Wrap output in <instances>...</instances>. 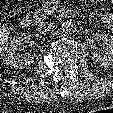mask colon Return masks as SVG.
Listing matches in <instances>:
<instances>
[{"mask_svg": "<svg viewBox=\"0 0 113 113\" xmlns=\"http://www.w3.org/2000/svg\"><path fill=\"white\" fill-rule=\"evenodd\" d=\"M9 41V32L0 22V52L7 46Z\"/></svg>", "mask_w": 113, "mask_h": 113, "instance_id": "1", "label": "colon"}]
</instances>
